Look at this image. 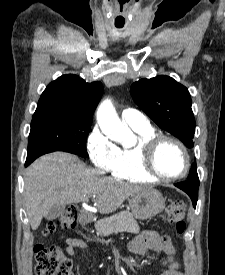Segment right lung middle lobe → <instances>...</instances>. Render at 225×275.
<instances>
[{"label":"right lung middle lobe","mask_w":225,"mask_h":275,"mask_svg":"<svg viewBox=\"0 0 225 275\" xmlns=\"http://www.w3.org/2000/svg\"><path fill=\"white\" fill-rule=\"evenodd\" d=\"M92 120L71 117L32 119L27 160L53 152L65 151L88 157L86 140Z\"/></svg>","instance_id":"right-lung-middle-lobe-1"}]
</instances>
